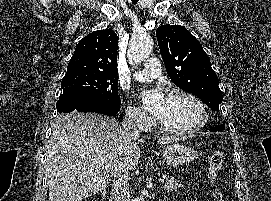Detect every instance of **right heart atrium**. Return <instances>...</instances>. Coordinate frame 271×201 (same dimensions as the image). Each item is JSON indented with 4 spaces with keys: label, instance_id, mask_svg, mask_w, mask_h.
Segmentation results:
<instances>
[{
    "label": "right heart atrium",
    "instance_id": "d8ad5b80",
    "mask_svg": "<svg viewBox=\"0 0 271 201\" xmlns=\"http://www.w3.org/2000/svg\"><path fill=\"white\" fill-rule=\"evenodd\" d=\"M127 119L140 129H146L150 125V118L137 106L128 105L126 108Z\"/></svg>",
    "mask_w": 271,
    "mask_h": 201
}]
</instances>
